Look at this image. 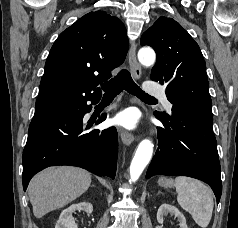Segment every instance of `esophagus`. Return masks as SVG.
<instances>
[{
    "instance_id": "34e87169",
    "label": "esophagus",
    "mask_w": 238,
    "mask_h": 228,
    "mask_svg": "<svg viewBox=\"0 0 238 228\" xmlns=\"http://www.w3.org/2000/svg\"><path fill=\"white\" fill-rule=\"evenodd\" d=\"M128 61H129V66H130L132 75L135 78L139 79L141 76V66L138 63L137 58H136V45L135 44H132V46L129 49ZM120 138L125 145H130L135 139V137L132 133H130L126 130H123V129H120Z\"/></svg>"
}]
</instances>
